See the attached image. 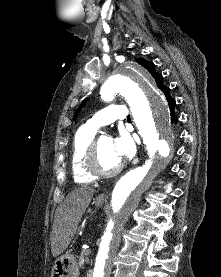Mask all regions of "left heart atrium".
<instances>
[{
	"label": "left heart atrium",
	"instance_id": "left-heart-atrium-1",
	"mask_svg": "<svg viewBox=\"0 0 221 277\" xmlns=\"http://www.w3.org/2000/svg\"><path fill=\"white\" fill-rule=\"evenodd\" d=\"M115 152L120 160H125L134 154V145L129 137L121 135L112 140Z\"/></svg>",
	"mask_w": 221,
	"mask_h": 277
}]
</instances>
